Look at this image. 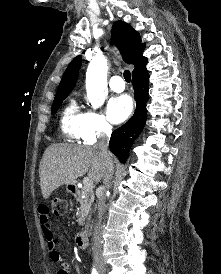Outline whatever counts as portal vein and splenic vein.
<instances>
[{
	"label": "portal vein and splenic vein",
	"instance_id": "1",
	"mask_svg": "<svg viewBox=\"0 0 221 274\" xmlns=\"http://www.w3.org/2000/svg\"><path fill=\"white\" fill-rule=\"evenodd\" d=\"M83 185H84V187L91 189L93 187V180L90 178H84Z\"/></svg>",
	"mask_w": 221,
	"mask_h": 274
}]
</instances>
